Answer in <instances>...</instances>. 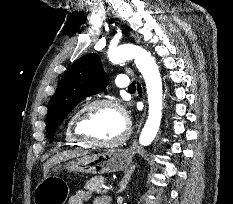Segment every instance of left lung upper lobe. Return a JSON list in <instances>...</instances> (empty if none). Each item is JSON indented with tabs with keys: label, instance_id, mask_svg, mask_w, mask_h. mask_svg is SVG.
<instances>
[{
	"label": "left lung upper lobe",
	"instance_id": "5c2ea615",
	"mask_svg": "<svg viewBox=\"0 0 233 204\" xmlns=\"http://www.w3.org/2000/svg\"><path fill=\"white\" fill-rule=\"evenodd\" d=\"M109 81L96 54L76 60L62 77L48 113L47 129L50 142L66 116L80 100L102 92Z\"/></svg>",
	"mask_w": 233,
	"mask_h": 204
}]
</instances>
